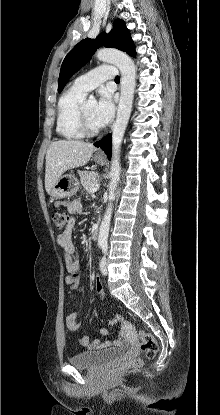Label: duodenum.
I'll use <instances>...</instances> for the list:
<instances>
[{"mask_svg":"<svg viewBox=\"0 0 220 415\" xmlns=\"http://www.w3.org/2000/svg\"><path fill=\"white\" fill-rule=\"evenodd\" d=\"M99 222H100V220L97 219V221H96V223H95V225L93 226V229H92V236L95 239L98 238V236H99Z\"/></svg>","mask_w":220,"mask_h":415,"instance_id":"410a0bca","label":"duodenum"}]
</instances>
